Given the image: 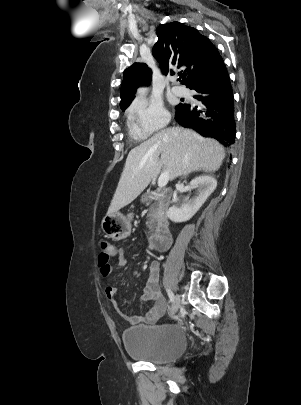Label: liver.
<instances>
[{"label": "liver", "instance_id": "obj_1", "mask_svg": "<svg viewBox=\"0 0 301 405\" xmlns=\"http://www.w3.org/2000/svg\"><path fill=\"white\" fill-rule=\"evenodd\" d=\"M224 158V147L214 139L179 127L161 130L129 152L107 214L135 200L162 168L174 180L193 171L215 172Z\"/></svg>", "mask_w": 301, "mask_h": 405}]
</instances>
